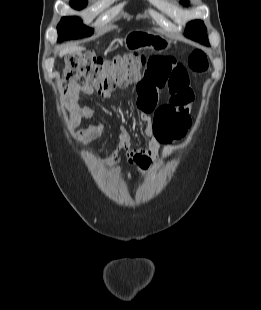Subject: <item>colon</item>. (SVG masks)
<instances>
[{"instance_id": "1", "label": "colon", "mask_w": 261, "mask_h": 310, "mask_svg": "<svg viewBox=\"0 0 261 310\" xmlns=\"http://www.w3.org/2000/svg\"><path fill=\"white\" fill-rule=\"evenodd\" d=\"M148 59L127 53L111 59H103L92 53H74L65 59L62 79L70 84L89 86L97 92H109L142 82L141 70ZM189 68L195 73H203L209 68L207 54L194 50L188 60Z\"/></svg>"}]
</instances>
